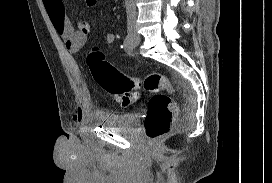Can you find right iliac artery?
Wrapping results in <instances>:
<instances>
[{"label":"right iliac artery","mask_w":272,"mask_h":183,"mask_svg":"<svg viewBox=\"0 0 272 183\" xmlns=\"http://www.w3.org/2000/svg\"><path fill=\"white\" fill-rule=\"evenodd\" d=\"M122 48H124V50H125L128 54H131V52L133 51V48H134L133 43H132L131 35L128 34V35L126 36Z\"/></svg>","instance_id":"obj_1"}]
</instances>
